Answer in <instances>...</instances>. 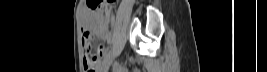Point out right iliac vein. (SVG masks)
Masks as SVG:
<instances>
[{"instance_id": "1", "label": "right iliac vein", "mask_w": 267, "mask_h": 72, "mask_svg": "<svg viewBox=\"0 0 267 72\" xmlns=\"http://www.w3.org/2000/svg\"><path fill=\"white\" fill-rule=\"evenodd\" d=\"M113 59H114V55L111 56V57L105 62V64H104V68H103V71H104V72H106V71L109 69V67H110V65H111V63H112V61H113Z\"/></svg>"}]
</instances>
